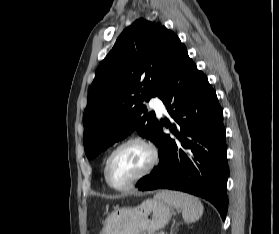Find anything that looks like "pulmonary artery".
<instances>
[{
	"instance_id": "1",
	"label": "pulmonary artery",
	"mask_w": 279,
	"mask_h": 234,
	"mask_svg": "<svg viewBox=\"0 0 279 234\" xmlns=\"http://www.w3.org/2000/svg\"><path fill=\"white\" fill-rule=\"evenodd\" d=\"M150 107L153 108L158 115H162L166 111L164 103L158 97H153L150 100Z\"/></svg>"
}]
</instances>
